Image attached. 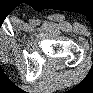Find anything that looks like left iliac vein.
Here are the masks:
<instances>
[{
	"mask_svg": "<svg viewBox=\"0 0 93 93\" xmlns=\"http://www.w3.org/2000/svg\"><path fill=\"white\" fill-rule=\"evenodd\" d=\"M31 23L33 24V23H34V21L32 20V21H31Z\"/></svg>",
	"mask_w": 93,
	"mask_h": 93,
	"instance_id": "4c4485c4",
	"label": "left iliac vein"
}]
</instances>
